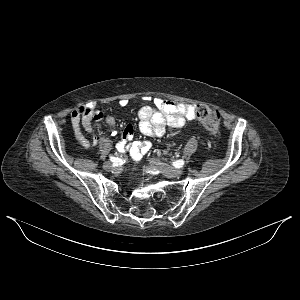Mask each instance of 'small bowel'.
<instances>
[{"mask_svg":"<svg viewBox=\"0 0 300 300\" xmlns=\"http://www.w3.org/2000/svg\"><path fill=\"white\" fill-rule=\"evenodd\" d=\"M154 106H144L138 112V129L146 137H157L163 135L168 129L182 127L187 120H191L195 115V106L192 104L173 101L163 98H153ZM120 106L128 104V100L121 99ZM105 120L109 126L116 124L113 116H105L95 103L91 102L79 106L71 114V124L75 136L84 147H90L101 141L99 136L93 135L90 139L86 137L81 129V125L86 132L93 134V121ZM134 128L131 125L125 127L121 140L117 144L119 151H129L134 160H140L151 148L149 141L133 140Z\"/></svg>","mask_w":300,"mask_h":300,"instance_id":"obj_1","label":"small bowel"}]
</instances>
